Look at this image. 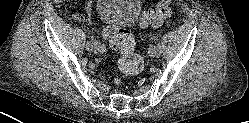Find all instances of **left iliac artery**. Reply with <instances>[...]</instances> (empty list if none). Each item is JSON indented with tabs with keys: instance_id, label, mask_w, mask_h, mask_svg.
<instances>
[{
	"instance_id": "1",
	"label": "left iliac artery",
	"mask_w": 249,
	"mask_h": 123,
	"mask_svg": "<svg viewBox=\"0 0 249 123\" xmlns=\"http://www.w3.org/2000/svg\"><path fill=\"white\" fill-rule=\"evenodd\" d=\"M157 46V57H159L161 55V46H160V43H157L156 44Z\"/></svg>"
}]
</instances>
